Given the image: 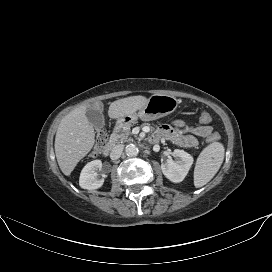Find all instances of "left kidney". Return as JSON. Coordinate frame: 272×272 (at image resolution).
I'll return each mask as SVG.
<instances>
[{"instance_id": "1", "label": "left kidney", "mask_w": 272, "mask_h": 272, "mask_svg": "<svg viewBox=\"0 0 272 272\" xmlns=\"http://www.w3.org/2000/svg\"><path fill=\"white\" fill-rule=\"evenodd\" d=\"M173 155L177 160L167 159L166 163L161 164V170L164 176L171 182L179 183L188 174L193 164V157L184 150L179 149H175Z\"/></svg>"}]
</instances>
